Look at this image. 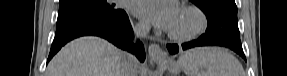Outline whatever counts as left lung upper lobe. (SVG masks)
Instances as JSON below:
<instances>
[{
	"mask_svg": "<svg viewBox=\"0 0 287 76\" xmlns=\"http://www.w3.org/2000/svg\"><path fill=\"white\" fill-rule=\"evenodd\" d=\"M190 1L206 14L208 19L207 33L233 41H240L235 0Z\"/></svg>",
	"mask_w": 287,
	"mask_h": 76,
	"instance_id": "left-lung-upper-lobe-1",
	"label": "left lung upper lobe"
}]
</instances>
